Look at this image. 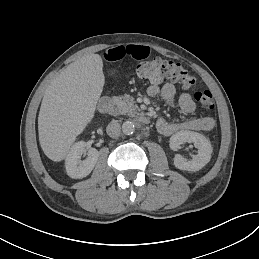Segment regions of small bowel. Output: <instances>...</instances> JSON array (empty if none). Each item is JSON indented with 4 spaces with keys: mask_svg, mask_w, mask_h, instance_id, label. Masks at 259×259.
<instances>
[{
    "mask_svg": "<svg viewBox=\"0 0 259 259\" xmlns=\"http://www.w3.org/2000/svg\"><path fill=\"white\" fill-rule=\"evenodd\" d=\"M149 55V48L142 45H118L104 50L101 58L105 62H115L123 58L142 60ZM147 92L150 96L160 95L168 106H172L175 101L176 88L173 83L166 82L162 86L151 84ZM178 104L181 110L186 114H193L196 111V103L189 93H182L179 96ZM215 126V120L210 116L190 117L180 120L158 119L156 123L157 130L165 135L170 136L183 130L209 131Z\"/></svg>",
    "mask_w": 259,
    "mask_h": 259,
    "instance_id": "1",
    "label": "small bowel"
}]
</instances>
